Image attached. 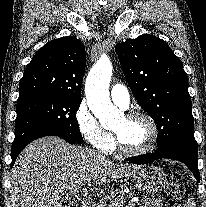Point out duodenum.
I'll list each match as a JSON object with an SVG mask.
<instances>
[{
    "label": "duodenum",
    "instance_id": "410a0bca",
    "mask_svg": "<svg viewBox=\"0 0 206 207\" xmlns=\"http://www.w3.org/2000/svg\"><path fill=\"white\" fill-rule=\"evenodd\" d=\"M77 207H82L81 205H77Z\"/></svg>",
    "mask_w": 206,
    "mask_h": 207
}]
</instances>
